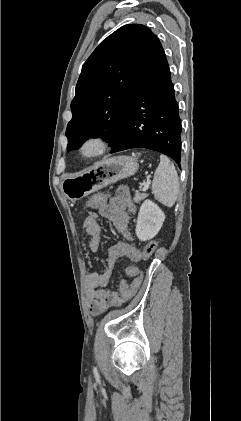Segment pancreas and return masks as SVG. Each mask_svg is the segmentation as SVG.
I'll use <instances>...</instances> for the list:
<instances>
[{
	"label": "pancreas",
	"instance_id": "1",
	"mask_svg": "<svg viewBox=\"0 0 241 421\" xmlns=\"http://www.w3.org/2000/svg\"><path fill=\"white\" fill-rule=\"evenodd\" d=\"M148 195L146 193H136L134 195V202L139 203L144 200Z\"/></svg>",
	"mask_w": 241,
	"mask_h": 421
}]
</instances>
